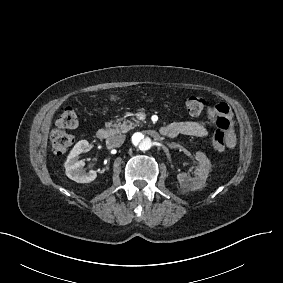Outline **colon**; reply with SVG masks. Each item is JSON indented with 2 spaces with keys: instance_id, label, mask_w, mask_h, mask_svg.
<instances>
[{
  "instance_id": "5ec220e1",
  "label": "colon",
  "mask_w": 283,
  "mask_h": 283,
  "mask_svg": "<svg viewBox=\"0 0 283 283\" xmlns=\"http://www.w3.org/2000/svg\"><path fill=\"white\" fill-rule=\"evenodd\" d=\"M183 104L189 115L201 114L207 104L205 97L201 95H188L183 97ZM78 124V113L74 107L65 108L57 119L58 128L52 130L50 134L51 147L55 154L67 152L72 146V136L64 129L74 127ZM230 127V118L222 119L218 116L216 128L212 135V146L216 151H223L226 143V132Z\"/></svg>"
}]
</instances>
